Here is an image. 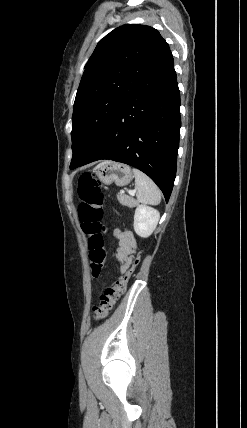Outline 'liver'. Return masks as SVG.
<instances>
[{"mask_svg":"<svg viewBox=\"0 0 247 428\" xmlns=\"http://www.w3.org/2000/svg\"><path fill=\"white\" fill-rule=\"evenodd\" d=\"M106 162H108V161H106ZM103 163H104V162H103ZM98 166H100V164H99ZM98 166H97V167H98ZM97 167H96V168H97Z\"/></svg>","mask_w":247,"mask_h":428,"instance_id":"liver-1","label":"liver"}]
</instances>
